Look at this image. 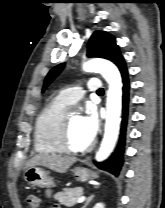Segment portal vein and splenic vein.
I'll return each instance as SVG.
<instances>
[{"mask_svg": "<svg viewBox=\"0 0 165 208\" xmlns=\"http://www.w3.org/2000/svg\"><path fill=\"white\" fill-rule=\"evenodd\" d=\"M85 200V196H81L77 199V203H82Z\"/></svg>", "mask_w": 165, "mask_h": 208, "instance_id": "18ae733b", "label": "portal vein and splenic vein"}]
</instances>
